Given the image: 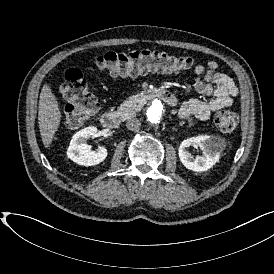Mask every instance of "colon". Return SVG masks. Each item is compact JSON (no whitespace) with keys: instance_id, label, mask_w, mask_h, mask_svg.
Segmentation results:
<instances>
[{"instance_id":"1","label":"colon","mask_w":274,"mask_h":274,"mask_svg":"<svg viewBox=\"0 0 274 274\" xmlns=\"http://www.w3.org/2000/svg\"><path fill=\"white\" fill-rule=\"evenodd\" d=\"M194 65L195 60L192 57L151 49L106 52L99 55L95 61L96 67L121 77L156 71L177 73ZM60 90L67 101V107L63 110V122L67 126L78 127L87 114L97 111V96L79 68L66 69ZM238 123V117L232 111H220L215 118V125L222 133L233 132Z\"/></svg>"}]
</instances>
